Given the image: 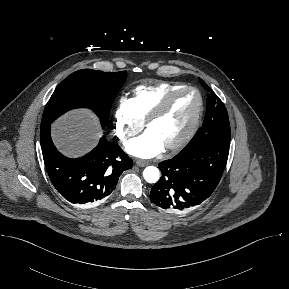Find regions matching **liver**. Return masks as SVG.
Here are the masks:
<instances>
[{"mask_svg":"<svg viewBox=\"0 0 289 289\" xmlns=\"http://www.w3.org/2000/svg\"><path fill=\"white\" fill-rule=\"evenodd\" d=\"M100 136L97 119L87 110L70 111L52 124L55 145L70 157H78L90 151Z\"/></svg>","mask_w":289,"mask_h":289,"instance_id":"liver-1","label":"liver"}]
</instances>
